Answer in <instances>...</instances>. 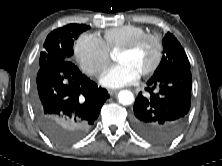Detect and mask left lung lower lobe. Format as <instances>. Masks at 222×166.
Returning <instances> with one entry per match:
<instances>
[{
    "label": "left lung lower lobe",
    "instance_id": "1",
    "mask_svg": "<svg viewBox=\"0 0 222 166\" xmlns=\"http://www.w3.org/2000/svg\"><path fill=\"white\" fill-rule=\"evenodd\" d=\"M190 70L152 76L134 103L132 126L145 140L166 144L183 130L191 106Z\"/></svg>",
    "mask_w": 222,
    "mask_h": 166
}]
</instances>
